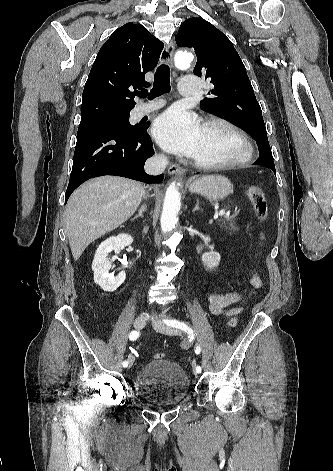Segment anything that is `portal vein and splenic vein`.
<instances>
[{"label": "portal vein and splenic vein", "mask_w": 333, "mask_h": 471, "mask_svg": "<svg viewBox=\"0 0 333 471\" xmlns=\"http://www.w3.org/2000/svg\"><path fill=\"white\" fill-rule=\"evenodd\" d=\"M223 215H225V210L224 209L219 211V216H223Z\"/></svg>", "instance_id": "obj_1"}]
</instances>
